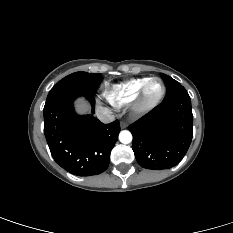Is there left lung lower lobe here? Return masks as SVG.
<instances>
[{
    "instance_id": "0a47b994",
    "label": "left lung lower lobe",
    "mask_w": 233,
    "mask_h": 233,
    "mask_svg": "<svg viewBox=\"0 0 233 233\" xmlns=\"http://www.w3.org/2000/svg\"><path fill=\"white\" fill-rule=\"evenodd\" d=\"M132 149L144 168L162 170L185 156L193 137L191 100L181 86L167 92L161 104L129 125Z\"/></svg>"
}]
</instances>
